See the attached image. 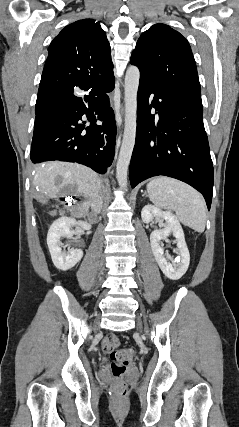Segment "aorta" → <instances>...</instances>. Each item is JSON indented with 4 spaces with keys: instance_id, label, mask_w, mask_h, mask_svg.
I'll use <instances>...</instances> for the list:
<instances>
[{
    "instance_id": "762f6f07",
    "label": "aorta",
    "mask_w": 239,
    "mask_h": 427,
    "mask_svg": "<svg viewBox=\"0 0 239 427\" xmlns=\"http://www.w3.org/2000/svg\"><path fill=\"white\" fill-rule=\"evenodd\" d=\"M140 72L136 66H130L125 76V128L116 166L118 184L126 190L127 172L136 138L137 91Z\"/></svg>"
}]
</instances>
